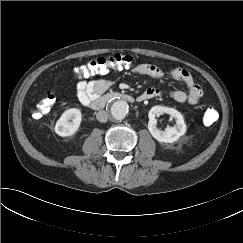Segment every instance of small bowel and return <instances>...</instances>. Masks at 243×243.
Returning a JSON list of instances; mask_svg holds the SVG:
<instances>
[{
	"label": "small bowel",
	"mask_w": 243,
	"mask_h": 243,
	"mask_svg": "<svg viewBox=\"0 0 243 243\" xmlns=\"http://www.w3.org/2000/svg\"><path fill=\"white\" fill-rule=\"evenodd\" d=\"M131 72L137 75H147L153 79L162 80L165 73L153 64H139L132 68ZM170 78L186 86V91L175 90L169 93L170 97L179 103L197 104L203 96L201 87L196 84L191 74L182 68H173L168 72ZM111 86V81L105 78L93 80H80L75 87L76 99L85 106L104 93ZM162 91L156 88H148L140 94L142 101L160 96Z\"/></svg>",
	"instance_id": "c3829d8e"
}]
</instances>
